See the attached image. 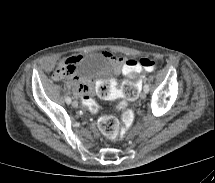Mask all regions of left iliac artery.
<instances>
[{
  "label": "left iliac artery",
  "instance_id": "1",
  "mask_svg": "<svg viewBox=\"0 0 215 183\" xmlns=\"http://www.w3.org/2000/svg\"><path fill=\"white\" fill-rule=\"evenodd\" d=\"M144 91H145L146 93H148V91H149V85H148V84H145V85H144Z\"/></svg>",
  "mask_w": 215,
  "mask_h": 183
}]
</instances>
